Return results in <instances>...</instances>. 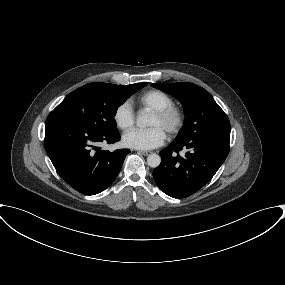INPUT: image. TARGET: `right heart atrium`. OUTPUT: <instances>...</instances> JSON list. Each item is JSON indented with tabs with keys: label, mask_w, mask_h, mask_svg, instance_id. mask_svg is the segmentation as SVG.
<instances>
[{
	"label": "right heart atrium",
	"mask_w": 285,
	"mask_h": 285,
	"mask_svg": "<svg viewBox=\"0 0 285 285\" xmlns=\"http://www.w3.org/2000/svg\"><path fill=\"white\" fill-rule=\"evenodd\" d=\"M114 121L118 128L127 130L135 123V112L128 101L120 103L113 114Z\"/></svg>",
	"instance_id": "obj_1"
}]
</instances>
